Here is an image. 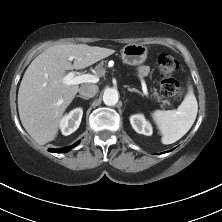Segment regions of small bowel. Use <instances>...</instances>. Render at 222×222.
Here are the masks:
<instances>
[{"label":"small bowel","instance_id":"c3829d8e","mask_svg":"<svg viewBox=\"0 0 222 222\" xmlns=\"http://www.w3.org/2000/svg\"><path fill=\"white\" fill-rule=\"evenodd\" d=\"M149 72H150V68L146 65H142L138 69V73L142 76L148 75Z\"/></svg>","mask_w":222,"mask_h":222}]
</instances>
